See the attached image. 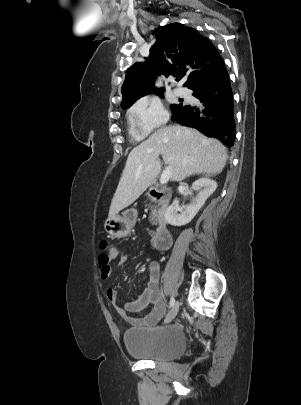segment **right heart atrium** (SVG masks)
Instances as JSON below:
<instances>
[{"instance_id": "obj_1", "label": "right heart atrium", "mask_w": 301, "mask_h": 405, "mask_svg": "<svg viewBox=\"0 0 301 405\" xmlns=\"http://www.w3.org/2000/svg\"><path fill=\"white\" fill-rule=\"evenodd\" d=\"M129 118L137 133L147 135L167 122L168 113L158 99L141 98L130 107Z\"/></svg>"}]
</instances>
